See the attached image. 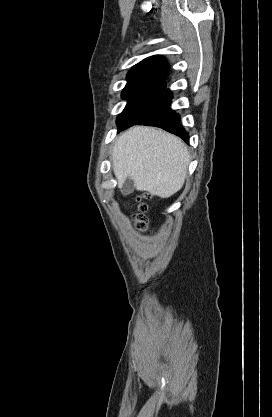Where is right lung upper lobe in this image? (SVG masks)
Wrapping results in <instances>:
<instances>
[{
    "label": "right lung upper lobe",
    "mask_w": 272,
    "mask_h": 417,
    "mask_svg": "<svg viewBox=\"0 0 272 417\" xmlns=\"http://www.w3.org/2000/svg\"><path fill=\"white\" fill-rule=\"evenodd\" d=\"M168 68L162 56L156 55L144 59L128 72V82L123 92L165 88Z\"/></svg>",
    "instance_id": "cb5924a9"
}]
</instances>
